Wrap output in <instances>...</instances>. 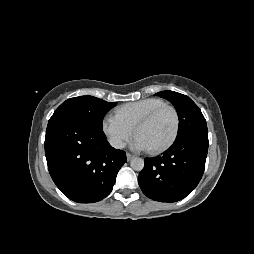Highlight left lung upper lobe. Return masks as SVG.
<instances>
[{"label": "left lung upper lobe", "instance_id": "obj_1", "mask_svg": "<svg viewBox=\"0 0 254 254\" xmlns=\"http://www.w3.org/2000/svg\"><path fill=\"white\" fill-rule=\"evenodd\" d=\"M156 95L167 99L176 108L179 117L176 140L192 134H208L201 110L189 97L174 91H161Z\"/></svg>", "mask_w": 254, "mask_h": 254}]
</instances>
